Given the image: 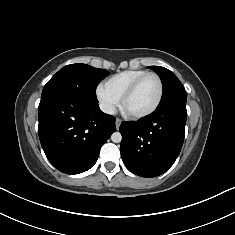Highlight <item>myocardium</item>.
Segmentation results:
<instances>
[{"mask_svg": "<svg viewBox=\"0 0 235 235\" xmlns=\"http://www.w3.org/2000/svg\"><path fill=\"white\" fill-rule=\"evenodd\" d=\"M149 76H153L157 79L158 84H159V94H158V98L156 100V102L154 103V105L149 108L148 110L144 111V112H140V113H134V114H130L128 113V115L132 118L135 119H140V118H144L147 117L149 115H151L152 113H154L158 107L160 106L162 99H163V95H164V85H163V81L161 79V77L155 73V72H147L145 74H143L142 76L138 77L127 89L126 91L123 93L122 97H121V107L123 110L124 109V105L126 100L133 95V93L135 92V90L137 89V87L140 85V83L147 77Z\"/></svg>", "mask_w": 235, "mask_h": 235, "instance_id": "myocardium-1", "label": "myocardium"}]
</instances>
